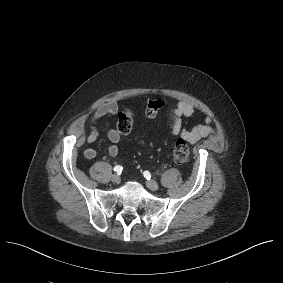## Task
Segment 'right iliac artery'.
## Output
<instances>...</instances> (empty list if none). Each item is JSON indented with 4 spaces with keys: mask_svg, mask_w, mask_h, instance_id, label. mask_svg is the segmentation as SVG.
<instances>
[{
    "mask_svg": "<svg viewBox=\"0 0 283 283\" xmlns=\"http://www.w3.org/2000/svg\"><path fill=\"white\" fill-rule=\"evenodd\" d=\"M122 170H123V167L120 166V165H117V166L114 167V171L119 173V174L122 172Z\"/></svg>",
    "mask_w": 283,
    "mask_h": 283,
    "instance_id": "obj_1",
    "label": "right iliac artery"
}]
</instances>
